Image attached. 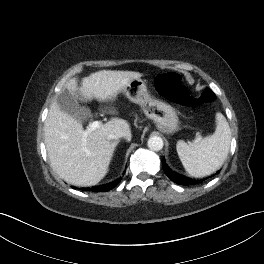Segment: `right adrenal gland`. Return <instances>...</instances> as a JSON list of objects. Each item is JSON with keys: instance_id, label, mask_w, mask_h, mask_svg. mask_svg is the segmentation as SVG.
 <instances>
[{"instance_id": "2a0ac1e0", "label": "right adrenal gland", "mask_w": 264, "mask_h": 264, "mask_svg": "<svg viewBox=\"0 0 264 264\" xmlns=\"http://www.w3.org/2000/svg\"><path fill=\"white\" fill-rule=\"evenodd\" d=\"M118 143H119V140L114 141V142L112 143L114 149L116 148V146L118 145Z\"/></svg>"}]
</instances>
